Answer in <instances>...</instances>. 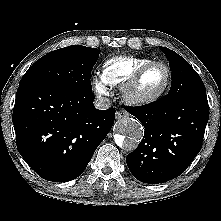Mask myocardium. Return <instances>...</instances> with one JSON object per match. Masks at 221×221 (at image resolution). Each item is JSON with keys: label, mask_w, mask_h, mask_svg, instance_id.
Segmentation results:
<instances>
[{"label": "myocardium", "mask_w": 221, "mask_h": 221, "mask_svg": "<svg viewBox=\"0 0 221 221\" xmlns=\"http://www.w3.org/2000/svg\"><path fill=\"white\" fill-rule=\"evenodd\" d=\"M154 66H162L166 70V80L163 86L150 94L138 92V84L144 74ZM171 84V70L167 64L161 61H151L140 67L133 76L122 86L121 94L123 100L130 105L141 106L151 104L160 99L168 90Z\"/></svg>", "instance_id": "f54148a6"}]
</instances>
